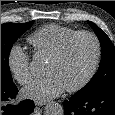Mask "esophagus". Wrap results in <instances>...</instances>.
Returning a JSON list of instances; mask_svg holds the SVG:
<instances>
[{"label":"esophagus","mask_w":115,"mask_h":115,"mask_svg":"<svg viewBox=\"0 0 115 115\" xmlns=\"http://www.w3.org/2000/svg\"><path fill=\"white\" fill-rule=\"evenodd\" d=\"M34 103H35L36 106H42V105H44L46 102H45V101H38V100H37V101H35Z\"/></svg>","instance_id":"obj_1"}]
</instances>
